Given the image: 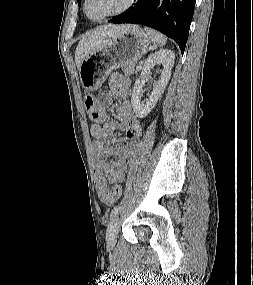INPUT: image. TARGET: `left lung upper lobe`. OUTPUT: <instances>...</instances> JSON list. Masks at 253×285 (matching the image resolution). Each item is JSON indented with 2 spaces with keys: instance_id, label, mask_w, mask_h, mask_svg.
Masks as SVG:
<instances>
[{
  "instance_id": "1",
  "label": "left lung upper lobe",
  "mask_w": 253,
  "mask_h": 285,
  "mask_svg": "<svg viewBox=\"0 0 253 285\" xmlns=\"http://www.w3.org/2000/svg\"><path fill=\"white\" fill-rule=\"evenodd\" d=\"M77 2H78V4H79V6L81 5V0H77Z\"/></svg>"
}]
</instances>
